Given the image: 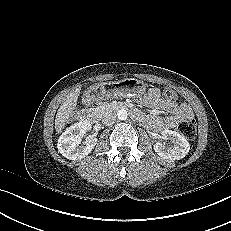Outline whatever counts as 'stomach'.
<instances>
[{
  "label": "stomach",
  "mask_w": 231,
  "mask_h": 231,
  "mask_svg": "<svg viewBox=\"0 0 231 231\" xmlns=\"http://www.w3.org/2000/svg\"><path fill=\"white\" fill-rule=\"evenodd\" d=\"M108 92L125 97H140L146 92V84L135 78L109 83Z\"/></svg>",
  "instance_id": "1"
}]
</instances>
